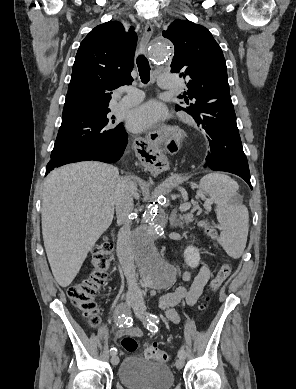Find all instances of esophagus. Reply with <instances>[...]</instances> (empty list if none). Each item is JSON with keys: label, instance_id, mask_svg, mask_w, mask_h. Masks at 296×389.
I'll return each mask as SVG.
<instances>
[{"label": "esophagus", "instance_id": "34e87169", "mask_svg": "<svg viewBox=\"0 0 296 389\" xmlns=\"http://www.w3.org/2000/svg\"><path fill=\"white\" fill-rule=\"evenodd\" d=\"M152 34L153 25L147 21L139 44L140 51L145 52ZM178 126V121L171 119L163 126H157L155 130L151 131V134L155 135L157 139H170L173 134L172 130L177 129ZM151 134L145 132L142 135H135L133 137L132 143L137 148L139 161L143 169L166 170L168 169L166 156L163 150L153 143Z\"/></svg>", "mask_w": 296, "mask_h": 389}]
</instances>
